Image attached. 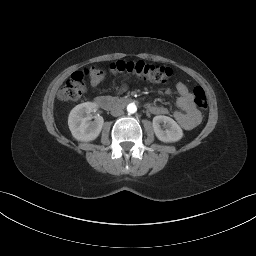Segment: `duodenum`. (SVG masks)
<instances>
[{
    "instance_id": "410a0bca",
    "label": "duodenum",
    "mask_w": 256,
    "mask_h": 256,
    "mask_svg": "<svg viewBox=\"0 0 256 256\" xmlns=\"http://www.w3.org/2000/svg\"><path fill=\"white\" fill-rule=\"evenodd\" d=\"M95 102L105 110H111L118 106H126L130 103H134L133 98H111L108 96H98Z\"/></svg>"
}]
</instances>
